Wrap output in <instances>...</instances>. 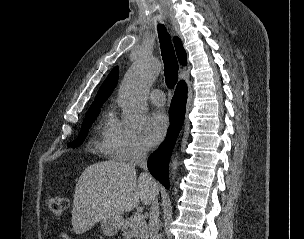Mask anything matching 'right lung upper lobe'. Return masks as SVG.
<instances>
[{
  "mask_svg": "<svg viewBox=\"0 0 304 239\" xmlns=\"http://www.w3.org/2000/svg\"><path fill=\"white\" fill-rule=\"evenodd\" d=\"M174 44L179 62L182 65H186L187 64L186 52L182 46L181 41L177 37L174 38ZM117 81H118V67H114L107 76L106 80L103 82L102 86L100 87L96 95V98L92 103V105L90 106V108L101 107L103 103L111 95L112 91L114 90L117 84Z\"/></svg>",
  "mask_w": 304,
  "mask_h": 239,
  "instance_id": "1",
  "label": "right lung upper lobe"
}]
</instances>
